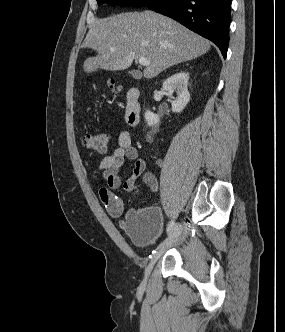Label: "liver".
I'll list each match as a JSON object with an SVG mask.
<instances>
[{
  "instance_id": "1",
  "label": "liver",
  "mask_w": 285,
  "mask_h": 332,
  "mask_svg": "<svg viewBox=\"0 0 285 332\" xmlns=\"http://www.w3.org/2000/svg\"><path fill=\"white\" fill-rule=\"evenodd\" d=\"M210 42L180 23L153 11L121 13L94 21L82 44L98 55L87 58L83 69L123 70L135 59L150 64L143 75L151 79L167 68L195 59L210 50ZM114 48V52H110Z\"/></svg>"
}]
</instances>
